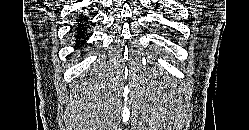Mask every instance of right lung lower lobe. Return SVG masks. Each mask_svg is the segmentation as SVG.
<instances>
[{
  "label": "right lung lower lobe",
  "instance_id": "right-lung-lower-lobe-1",
  "mask_svg": "<svg viewBox=\"0 0 249 130\" xmlns=\"http://www.w3.org/2000/svg\"><path fill=\"white\" fill-rule=\"evenodd\" d=\"M84 9V8H83ZM77 25L75 26L72 32L75 33L77 45L83 44V41L86 39L85 34L87 31L88 17H78L76 19Z\"/></svg>",
  "mask_w": 249,
  "mask_h": 130
}]
</instances>
